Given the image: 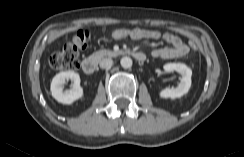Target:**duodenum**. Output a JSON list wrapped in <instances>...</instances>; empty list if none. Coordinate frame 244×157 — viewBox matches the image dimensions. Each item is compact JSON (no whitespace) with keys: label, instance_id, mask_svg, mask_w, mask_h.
I'll list each match as a JSON object with an SVG mask.
<instances>
[{"label":"duodenum","instance_id":"obj_1","mask_svg":"<svg viewBox=\"0 0 244 157\" xmlns=\"http://www.w3.org/2000/svg\"><path fill=\"white\" fill-rule=\"evenodd\" d=\"M131 55L137 60V61H144L146 59V55L142 52H131ZM82 69L86 74H93L97 71L98 68V62L95 58H85L83 59L81 63Z\"/></svg>","mask_w":244,"mask_h":157}]
</instances>
